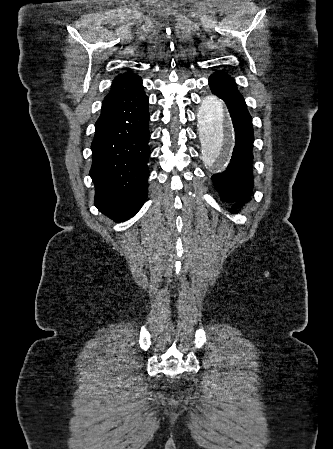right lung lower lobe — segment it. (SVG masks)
Instances as JSON below:
<instances>
[{"instance_id":"1","label":"right lung lower lobe","mask_w":333,"mask_h":449,"mask_svg":"<svg viewBox=\"0 0 333 449\" xmlns=\"http://www.w3.org/2000/svg\"><path fill=\"white\" fill-rule=\"evenodd\" d=\"M149 100L142 90L101 111L91 144L95 206L117 222L135 215L148 193Z\"/></svg>"}]
</instances>
